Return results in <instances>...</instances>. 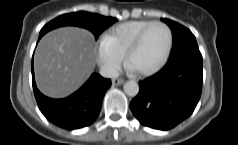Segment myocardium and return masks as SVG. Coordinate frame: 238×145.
<instances>
[{"label": "myocardium", "instance_id": "myocardium-1", "mask_svg": "<svg viewBox=\"0 0 238 145\" xmlns=\"http://www.w3.org/2000/svg\"><path fill=\"white\" fill-rule=\"evenodd\" d=\"M155 25H160L166 29L167 34H168L167 46H166L165 52L162 55L161 59L154 66H152L148 69H145V70H141V71L134 70V72L140 76H149V75L156 73L158 70H160L164 66V64L167 62V60L170 56L171 50H172L173 34H172L170 27L162 21H152L138 33V35L135 37V39L133 40V42L130 44L127 51L125 52L124 60H125L126 66H128L130 68L129 60H130L131 55L139 48V46L141 45L142 40H143L144 36L146 35V33L148 32V30Z\"/></svg>", "mask_w": 238, "mask_h": 145}]
</instances>
